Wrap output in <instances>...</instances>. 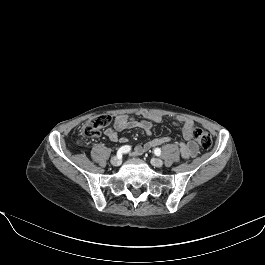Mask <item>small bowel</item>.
I'll list each match as a JSON object with an SVG mask.
<instances>
[{
	"instance_id": "c3829d8e",
	"label": "small bowel",
	"mask_w": 265,
	"mask_h": 265,
	"mask_svg": "<svg viewBox=\"0 0 265 265\" xmlns=\"http://www.w3.org/2000/svg\"><path fill=\"white\" fill-rule=\"evenodd\" d=\"M142 119H137L125 114H120L113 119L112 126L105 130V135L113 142L126 143L128 139L126 137H120L119 132L131 129L140 128L146 135L151 134L153 124L159 123L162 120V116L158 113L151 111H144L139 113ZM175 125L181 128L184 142L179 143L180 152L185 159L194 157L198 152V146L193 141L194 122L185 116H177L174 119ZM169 141V137L161 136L153 138L143 144L137 145L133 151V155H141L148 149L165 144Z\"/></svg>"
}]
</instances>
